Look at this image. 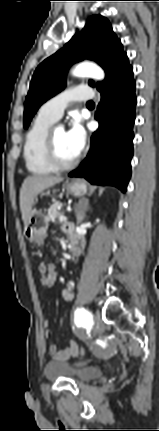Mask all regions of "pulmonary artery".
Instances as JSON below:
<instances>
[{"label":"pulmonary artery","instance_id":"obj_1","mask_svg":"<svg viewBox=\"0 0 159 431\" xmlns=\"http://www.w3.org/2000/svg\"><path fill=\"white\" fill-rule=\"evenodd\" d=\"M94 96L92 88L85 84H79L67 88L61 93L45 102L39 113L57 121L71 102L90 101Z\"/></svg>","mask_w":159,"mask_h":431}]
</instances>
